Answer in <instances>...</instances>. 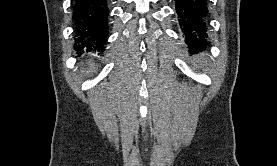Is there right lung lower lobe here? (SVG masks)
Wrapping results in <instances>:
<instances>
[{
    "instance_id": "98d812e1",
    "label": "right lung lower lobe",
    "mask_w": 277,
    "mask_h": 166,
    "mask_svg": "<svg viewBox=\"0 0 277 166\" xmlns=\"http://www.w3.org/2000/svg\"><path fill=\"white\" fill-rule=\"evenodd\" d=\"M107 0H75L74 27L75 50L103 51L108 36Z\"/></svg>"
}]
</instances>
